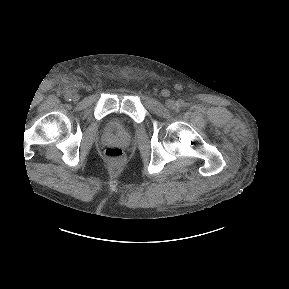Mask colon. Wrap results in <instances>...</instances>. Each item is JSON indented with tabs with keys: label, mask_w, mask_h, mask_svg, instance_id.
I'll list each match as a JSON object with an SVG mask.
<instances>
[{
	"label": "colon",
	"mask_w": 289,
	"mask_h": 289,
	"mask_svg": "<svg viewBox=\"0 0 289 289\" xmlns=\"http://www.w3.org/2000/svg\"><path fill=\"white\" fill-rule=\"evenodd\" d=\"M104 156L110 163L114 165H120L124 161V152L117 146L106 148L104 151Z\"/></svg>",
	"instance_id": "obj_1"
}]
</instances>
